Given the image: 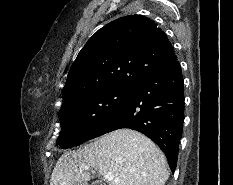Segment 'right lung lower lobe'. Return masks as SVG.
Segmentation results:
<instances>
[{
    "instance_id": "right-lung-lower-lobe-1",
    "label": "right lung lower lobe",
    "mask_w": 233,
    "mask_h": 185,
    "mask_svg": "<svg viewBox=\"0 0 233 185\" xmlns=\"http://www.w3.org/2000/svg\"><path fill=\"white\" fill-rule=\"evenodd\" d=\"M183 122L184 82L176 60L135 83L89 140L119 128L137 130L163 150L174 172Z\"/></svg>"
}]
</instances>
